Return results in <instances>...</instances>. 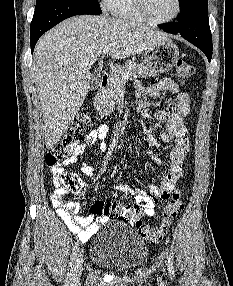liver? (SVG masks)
I'll list each match as a JSON object with an SVG mask.
<instances>
[{
    "instance_id": "1",
    "label": "liver",
    "mask_w": 233,
    "mask_h": 286,
    "mask_svg": "<svg viewBox=\"0 0 233 286\" xmlns=\"http://www.w3.org/2000/svg\"><path fill=\"white\" fill-rule=\"evenodd\" d=\"M167 34L135 21L105 15L71 17L38 41L31 67L39 91L45 145L52 149L68 129L90 88V67L106 46L122 59L147 51Z\"/></svg>"
}]
</instances>
